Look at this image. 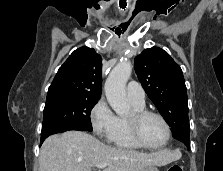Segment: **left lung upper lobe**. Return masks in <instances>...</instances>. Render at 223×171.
I'll list each match as a JSON object with an SVG mask.
<instances>
[{
    "label": "left lung upper lobe",
    "mask_w": 223,
    "mask_h": 171,
    "mask_svg": "<svg viewBox=\"0 0 223 171\" xmlns=\"http://www.w3.org/2000/svg\"><path fill=\"white\" fill-rule=\"evenodd\" d=\"M135 71L151 101L181 144H190L187 90L182 70L161 48L152 47L135 57Z\"/></svg>",
    "instance_id": "5c2ea615"
}]
</instances>
